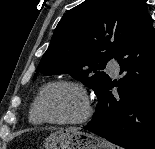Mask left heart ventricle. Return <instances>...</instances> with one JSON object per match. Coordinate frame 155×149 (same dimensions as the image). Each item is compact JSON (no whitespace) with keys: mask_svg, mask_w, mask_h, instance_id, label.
Returning <instances> with one entry per match:
<instances>
[{"mask_svg":"<svg viewBox=\"0 0 155 149\" xmlns=\"http://www.w3.org/2000/svg\"><path fill=\"white\" fill-rule=\"evenodd\" d=\"M41 105L44 113L55 120L75 119L83 111V100L79 92L64 85L50 87L44 93Z\"/></svg>","mask_w":155,"mask_h":149,"instance_id":"obj_1","label":"left heart ventricle"}]
</instances>
